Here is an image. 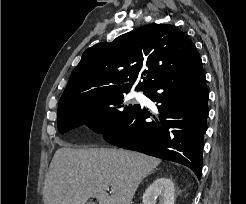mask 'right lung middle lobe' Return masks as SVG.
<instances>
[{"label": "right lung middle lobe", "mask_w": 246, "mask_h": 204, "mask_svg": "<svg viewBox=\"0 0 246 204\" xmlns=\"http://www.w3.org/2000/svg\"><path fill=\"white\" fill-rule=\"evenodd\" d=\"M124 94L88 96L59 104L58 131L63 134L84 125L104 134L120 127L138 107L136 104H125Z\"/></svg>", "instance_id": "obj_1"}]
</instances>
